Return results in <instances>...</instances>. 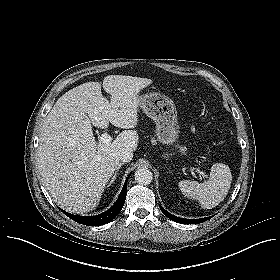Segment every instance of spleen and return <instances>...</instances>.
<instances>
[{"instance_id":"spleen-1","label":"spleen","mask_w":280,"mask_h":280,"mask_svg":"<svg viewBox=\"0 0 280 280\" xmlns=\"http://www.w3.org/2000/svg\"><path fill=\"white\" fill-rule=\"evenodd\" d=\"M232 182V174L228 165L215 163L211 167L210 177L204 183L182 180L178 186L181 192L200 202L203 208L217 206L227 196Z\"/></svg>"}]
</instances>
